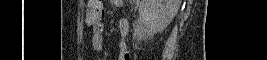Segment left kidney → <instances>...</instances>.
I'll list each match as a JSON object with an SVG mask.
<instances>
[{"mask_svg": "<svg viewBox=\"0 0 267 60\" xmlns=\"http://www.w3.org/2000/svg\"><path fill=\"white\" fill-rule=\"evenodd\" d=\"M180 7L179 0H145L139 16L150 32L163 31L174 19Z\"/></svg>", "mask_w": 267, "mask_h": 60, "instance_id": "1", "label": "left kidney"}]
</instances>
